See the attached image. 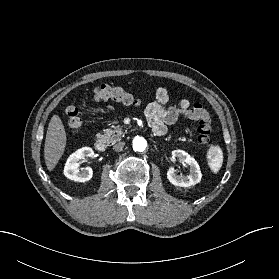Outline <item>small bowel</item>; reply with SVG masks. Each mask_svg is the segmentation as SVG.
Masks as SVG:
<instances>
[{
  "instance_id": "1",
  "label": "small bowel",
  "mask_w": 279,
  "mask_h": 279,
  "mask_svg": "<svg viewBox=\"0 0 279 279\" xmlns=\"http://www.w3.org/2000/svg\"><path fill=\"white\" fill-rule=\"evenodd\" d=\"M169 100V90L166 87H160L156 91L155 100L150 102L146 109L145 115L148 123L154 133L163 136L167 133V126L175 123L179 118L189 119L190 101L182 99L178 106H167ZM107 110L113 111L112 106Z\"/></svg>"
}]
</instances>
